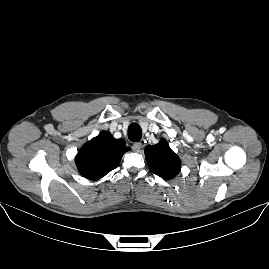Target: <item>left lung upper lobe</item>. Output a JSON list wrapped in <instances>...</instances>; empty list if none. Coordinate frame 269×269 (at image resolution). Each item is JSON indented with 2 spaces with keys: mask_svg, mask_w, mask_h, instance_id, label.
Segmentation results:
<instances>
[{
  "mask_svg": "<svg viewBox=\"0 0 269 269\" xmlns=\"http://www.w3.org/2000/svg\"><path fill=\"white\" fill-rule=\"evenodd\" d=\"M145 157L150 170L164 179H172L181 169L179 157L164 140L158 144L147 146Z\"/></svg>",
  "mask_w": 269,
  "mask_h": 269,
  "instance_id": "left-lung-upper-lobe-1",
  "label": "left lung upper lobe"
}]
</instances>
